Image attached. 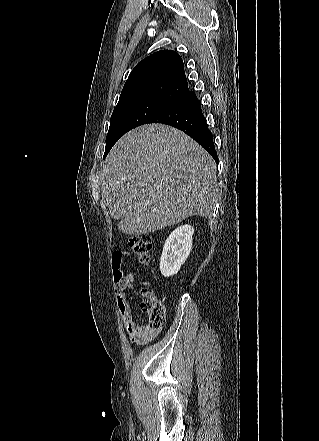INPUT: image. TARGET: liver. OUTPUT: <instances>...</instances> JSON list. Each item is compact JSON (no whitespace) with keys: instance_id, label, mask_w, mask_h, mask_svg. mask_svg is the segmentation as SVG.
<instances>
[{"instance_id":"1","label":"liver","mask_w":319,"mask_h":441,"mask_svg":"<svg viewBox=\"0 0 319 441\" xmlns=\"http://www.w3.org/2000/svg\"><path fill=\"white\" fill-rule=\"evenodd\" d=\"M102 200L118 229L137 236L192 216L208 217L218 200L216 163L190 136L146 124L114 145L101 171Z\"/></svg>"}]
</instances>
